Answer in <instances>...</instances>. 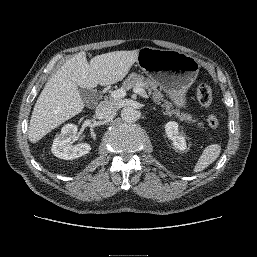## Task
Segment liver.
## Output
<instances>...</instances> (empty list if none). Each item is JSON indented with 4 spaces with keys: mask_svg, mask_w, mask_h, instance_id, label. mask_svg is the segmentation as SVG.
I'll return each mask as SVG.
<instances>
[{
    "mask_svg": "<svg viewBox=\"0 0 257 257\" xmlns=\"http://www.w3.org/2000/svg\"><path fill=\"white\" fill-rule=\"evenodd\" d=\"M138 52H109L93 57L90 63L80 52L67 60L48 80L35 103L28 129L30 142H38L82 112L85 104L78 87L92 89L121 81L137 61Z\"/></svg>",
    "mask_w": 257,
    "mask_h": 257,
    "instance_id": "liver-1",
    "label": "liver"
}]
</instances>
